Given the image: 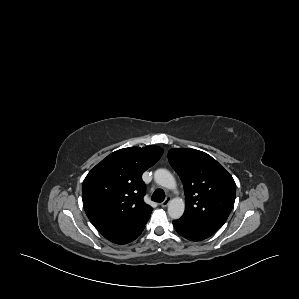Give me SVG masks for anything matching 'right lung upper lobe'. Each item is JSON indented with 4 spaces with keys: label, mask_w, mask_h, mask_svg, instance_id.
<instances>
[{
    "label": "right lung upper lobe",
    "mask_w": 299,
    "mask_h": 299,
    "mask_svg": "<svg viewBox=\"0 0 299 299\" xmlns=\"http://www.w3.org/2000/svg\"><path fill=\"white\" fill-rule=\"evenodd\" d=\"M158 146L117 150L86 176L82 186L85 212L105 237L130 233L142 228L152 208L143 202L142 174L162 156Z\"/></svg>",
    "instance_id": "right-lung-upper-lobe-1"
}]
</instances>
